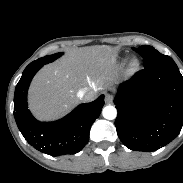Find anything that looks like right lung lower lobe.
I'll return each mask as SVG.
<instances>
[{
  "label": "right lung lower lobe",
  "mask_w": 183,
  "mask_h": 183,
  "mask_svg": "<svg viewBox=\"0 0 183 183\" xmlns=\"http://www.w3.org/2000/svg\"><path fill=\"white\" fill-rule=\"evenodd\" d=\"M44 62H31L15 88L14 117L25 140L40 152L51 156L78 153L89 141V132L104 105V95L91 103L81 104L55 122L37 121L27 107V91Z\"/></svg>",
  "instance_id": "obj_1"
}]
</instances>
